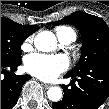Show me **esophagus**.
<instances>
[{
	"label": "esophagus",
	"instance_id": "34e87169",
	"mask_svg": "<svg viewBox=\"0 0 109 109\" xmlns=\"http://www.w3.org/2000/svg\"><path fill=\"white\" fill-rule=\"evenodd\" d=\"M43 86H44L45 88H49V87H51L50 84H43Z\"/></svg>",
	"mask_w": 109,
	"mask_h": 109
}]
</instances>
